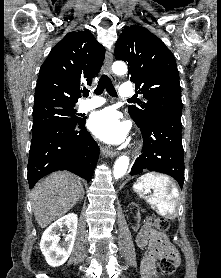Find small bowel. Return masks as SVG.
<instances>
[{"label":"small bowel","mask_w":221,"mask_h":278,"mask_svg":"<svg viewBox=\"0 0 221 278\" xmlns=\"http://www.w3.org/2000/svg\"><path fill=\"white\" fill-rule=\"evenodd\" d=\"M137 245L146 249L142 259L143 278L155 277V265L159 258L169 256L179 261V255L173 246L167 241L166 235L152 227L150 219H146L137 234Z\"/></svg>","instance_id":"obj_1"}]
</instances>
